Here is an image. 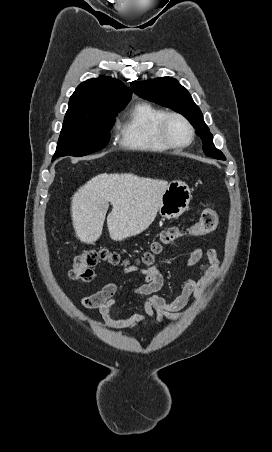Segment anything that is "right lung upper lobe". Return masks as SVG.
<instances>
[{
    "label": "right lung upper lobe",
    "mask_w": 272,
    "mask_h": 452,
    "mask_svg": "<svg viewBox=\"0 0 272 452\" xmlns=\"http://www.w3.org/2000/svg\"><path fill=\"white\" fill-rule=\"evenodd\" d=\"M131 90L120 81L100 76L81 83L70 97L64 119L93 115L104 108L128 103Z\"/></svg>",
    "instance_id": "obj_1"
}]
</instances>
